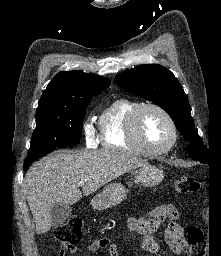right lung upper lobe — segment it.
<instances>
[{"label":"right lung upper lobe","mask_w":221,"mask_h":256,"mask_svg":"<svg viewBox=\"0 0 221 256\" xmlns=\"http://www.w3.org/2000/svg\"><path fill=\"white\" fill-rule=\"evenodd\" d=\"M110 85L108 78L80 71H61L44 90L37 112L73 108L83 98H92Z\"/></svg>","instance_id":"cb5924a9"}]
</instances>
